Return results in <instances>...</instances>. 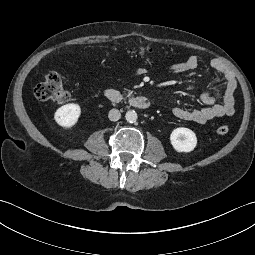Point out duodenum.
<instances>
[{"mask_svg": "<svg viewBox=\"0 0 255 255\" xmlns=\"http://www.w3.org/2000/svg\"><path fill=\"white\" fill-rule=\"evenodd\" d=\"M105 97L112 103H121L125 100L130 106L141 110H146L150 107V102L146 97L132 96L124 99L123 95L118 90L112 88L105 90Z\"/></svg>", "mask_w": 255, "mask_h": 255, "instance_id": "1", "label": "duodenum"}]
</instances>
